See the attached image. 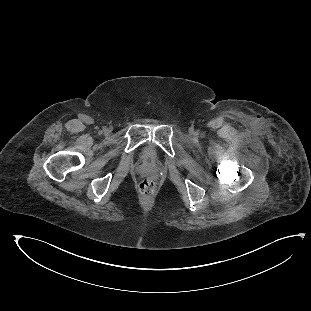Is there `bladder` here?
I'll use <instances>...</instances> for the list:
<instances>
[{"label": "bladder", "mask_w": 311, "mask_h": 311, "mask_svg": "<svg viewBox=\"0 0 311 311\" xmlns=\"http://www.w3.org/2000/svg\"><path fill=\"white\" fill-rule=\"evenodd\" d=\"M157 158V146L153 141L144 143L140 150L141 162L145 165H152Z\"/></svg>", "instance_id": "bladder-1"}]
</instances>
